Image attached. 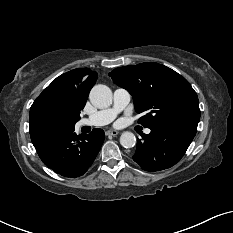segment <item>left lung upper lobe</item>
<instances>
[{
	"label": "left lung upper lobe",
	"mask_w": 233,
	"mask_h": 233,
	"mask_svg": "<svg viewBox=\"0 0 233 233\" xmlns=\"http://www.w3.org/2000/svg\"><path fill=\"white\" fill-rule=\"evenodd\" d=\"M114 83L132 95L144 127L183 126L197 130L199 101L190 83L162 64L146 62L114 69Z\"/></svg>",
	"instance_id": "1"
}]
</instances>
